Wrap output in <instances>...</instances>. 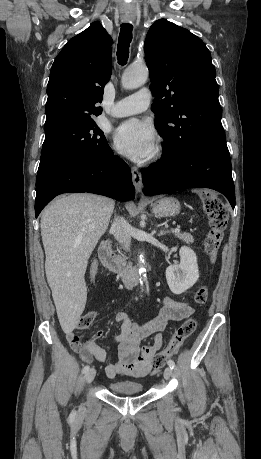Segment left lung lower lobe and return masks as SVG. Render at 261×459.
<instances>
[{
    "mask_svg": "<svg viewBox=\"0 0 261 459\" xmlns=\"http://www.w3.org/2000/svg\"><path fill=\"white\" fill-rule=\"evenodd\" d=\"M144 194H166L187 188H211L235 207V189L226 139L199 143L181 154L163 148L161 159L142 170Z\"/></svg>",
    "mask_w": 261,
    "mask_h": 459,
    "instance_id": "1",
    "label": "left lung lower lobe"
}]
</instances>
